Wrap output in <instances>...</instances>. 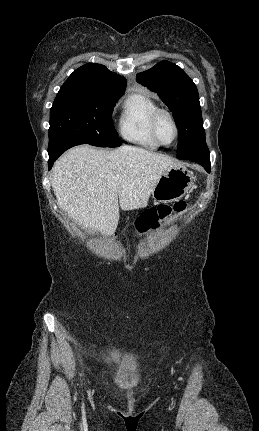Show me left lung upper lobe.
Returning a JSON list of instances; mask_svg holds the SVG:
<instances>
[{
  "label": "left lung upper lobe",
  "instance_id": "5c2ea615",
  "mask_svg": "<svg viewBox=\"0 0 259 431\" xmlns=\"http://www.w3.org/2000/svg\"><path fill=\"white\" fill-rule=\"evenodd\" d=\"M136 80L156 92L172 112L179 131L177 158L209 155L199 94L191 78L179 66L163 60L138 73Z\"/></svg>",
  "mask_w": 259,
  "mask_h": 431
}]
</instances>
